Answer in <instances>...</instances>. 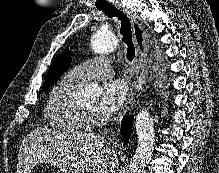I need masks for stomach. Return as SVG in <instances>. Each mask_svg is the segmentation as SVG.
<instances>
[{
	"label": "stomach",
	"instance_id": "obj_1",
	"mask_svg": "<svg viewBox=\"0 0 219 173\" xmlns=\"http://www.w3.org/2000/svg\"><path fill=\"white\" fill-rule=\"evenodd\" d=\"M52 173H63V171L60 169H57V170H54Z\"/></svg>",
	"mask_w": 219,
	"mask_h": 173
}]
</instances>
